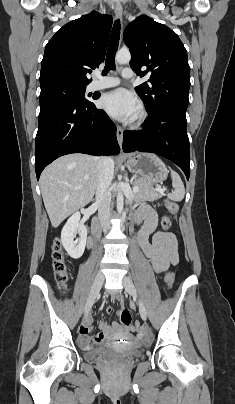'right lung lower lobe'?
<instances>
[{
    "label": "right lung lower lobe",
    "instance_id": "1",
    "mask_svg": "<svg viewBox=\"0 0 235 404\" xmlns=\"http://www.w3.org/2000/svg\"><path fill=\"white\" fill-rule=\"evenodd\" d=\"M119 152L116 126L92 102L85 105L60 101L40 103L35 141L37 179L49 163L66 154L116 155Z\"/></svg>",
    "mask_w": 235,
    "mask_h": 404
}]
</instances>
